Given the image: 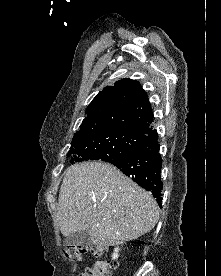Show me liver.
<instances>
[{"label": "liver", "instance_id": "1", "mask_svg": "<svg viewBox=\"0 0 221 276\" xmlns=\"http://www.w3.org/2000/svg\"><path fill=\"white\" fill-rule=\"evenodd\" d=\"M57 218L63 236L87 230L94 245L106 247L148 233L159 208L149 192L113 165L83 162L65 172Z\"/></svg>", "mask_w": 221, "mask_h": 276}]
</instances>
